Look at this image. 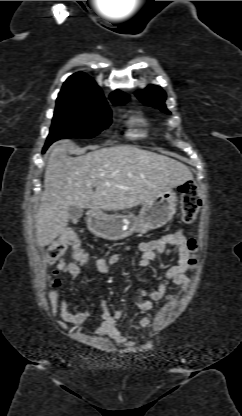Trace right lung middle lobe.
Masks as SVG:
<instances>
[{
	"label": "right lung middle lobe",
	"instance_id": "right-lung-middle-lobe-1",
	"mask_svg": "<svg viewBox=\"0 0 242 416\" xmlns=\"http://www.w3.org/2000/svg\"><path fill=\"white\" fill-rule=\"evenodd\" d=\"M120 101L114 105H124ZM111 124V110L107 102H59L44 150L61 138H92Z\"/></svg>",
	"mask_w": 242,
	"mask_h": 416
}]
</instances>
